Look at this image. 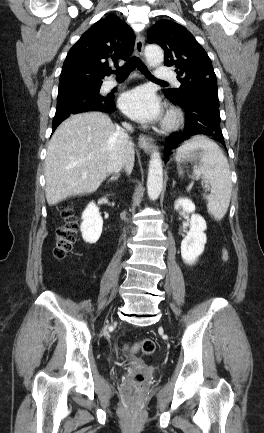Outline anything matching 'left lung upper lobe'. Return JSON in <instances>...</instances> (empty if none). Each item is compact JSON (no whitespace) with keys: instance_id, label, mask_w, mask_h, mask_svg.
<instances>
[{"instance_id":"left-lung-upper-lobe-1","label":"left lung upper lobe","mask_w":264,"mask_h":433,"mask_svg":"<svg viewBox=\"0 0 264 433\" xmlns=\"http://www.w3.org/2000/svg\"><path fill=\"white\" fill-rule=\"evenodd\" d=\"M148 42L157 43L163 48L165 65L175 67L181 82L179 89L165 90L168 97L181 99L193 93L218 97L217 79L211 60L184 26L170 20H160L150 28Z\"/></svg>"}]
</instances>
